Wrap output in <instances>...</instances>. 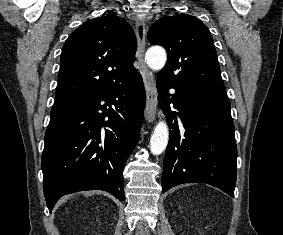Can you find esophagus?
<instances>
[{"label": "esophagus", "instance_id": "34e87169", "mask_svg": "<svg viewBox=\"0 0 283 235\" xmlns=\"http://www.w3.org/2000/svg\"><path fill=\"white\" fill-rule=\"evenodd\" d=\"M137 37V58L140 65V72L146 90V106L144 117L147 122H153L157 111V89L152 72L148 69L144 54L146 45V28L142 18L136 20Z\"/></svg>", "mask_w": 283, "mask_h": 235}]
</instances>
